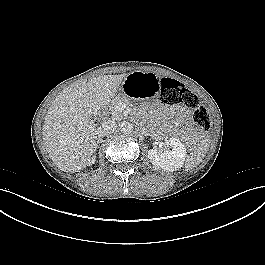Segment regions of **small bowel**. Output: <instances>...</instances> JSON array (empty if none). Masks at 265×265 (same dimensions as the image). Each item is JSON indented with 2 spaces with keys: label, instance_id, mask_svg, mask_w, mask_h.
I'll list each match as a JSON object with an SVG mask.
<instances>
[{
  "label": "small bowel",
  "instance_id": "1",
  "mask_svg": "<svg viewBox=\"0 0 265 265\" xmlns=\"http://www.w3.org/2000/svg\"><path fill=\"white\" fill-rule=\"evenodd\" d=\"M175 113L181 118H187L189 115L188 110H186L183 107H179V108L175 109Z\"/></svg>",
  "mask_w": 265,
  "mask_h": 265
}]
</instances>
